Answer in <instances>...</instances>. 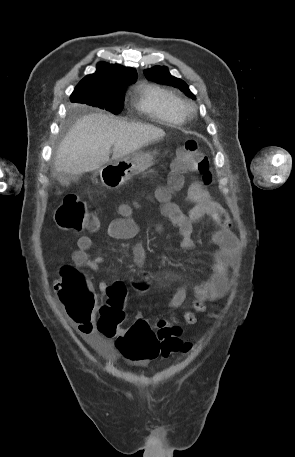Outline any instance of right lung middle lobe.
<instances>
[{"label":"right lung middle lobe","mask_w":295,"mask_h":457,"mask_svg":"<svg viewBox=\"0 0 295 457\" xmlns=\"http://www.w3.org/2000/svg\"><path fill=\"white\" fill-rule=\"evenodd\" d=\"M126 87L117 90H94L76 87L71 95L72 102L86 103L119 114L124 106Z\"/></svg>","instance_id":"dd1d6c3e"}]
</instances>
